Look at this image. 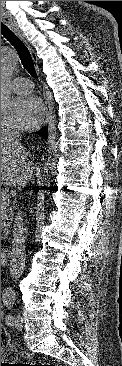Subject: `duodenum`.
Segmentation results:
<instances>
[{"instance_id": "obj_1", "label": "duodenum", "mask_w": 122, "mask_h": 366, "mask_svg": "<svg viewBox=\"0 0 122 366\" xmlns=\"http://www.w3.org/2000/svg\"><path fill=\"white\" fill-rule=\"evenodd\" d=\"M9 255V251L7 249H1V257L4 259V257H7Z\"/></svg>"}]
</instances>
